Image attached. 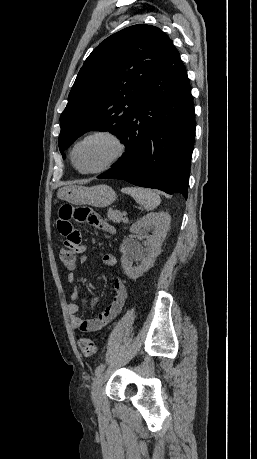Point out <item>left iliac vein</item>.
<instances>
[{
	"label": "left iliac vein",
	"instance_id": "obj_1",
	"mask_svg": "<svg viewBox=\"0 0 257 459\" xmlns=\"http://www.w3.org/2000/svg\"><path fill=\"white\" fill-rule=\"evenodd\" d=\"M104 381L103 373L99 374L93 382L91 389V398L94 405L99 406L101 403V390Z\"/></svg>",
	"mask_w": 257,
	"mask_h": 459
}]
</instances>
